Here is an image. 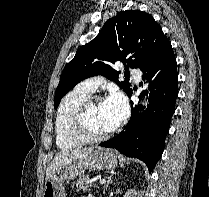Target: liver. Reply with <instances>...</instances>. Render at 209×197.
<instances>
[{"instance_id":"liver-1","label":"liver","mask_w":209,"mask_h":197,"mask_svg":"<svg viewBox=\"0 0 209 197\" xmlns=\"http://www.w3.org/2000/svg\"><path fill=\"white\" fill-rule=\"evenodd\" d=\"M93 150V147L84 149H73L62 151L54 157L52 162L48 165L46 170V180L50 179L57 171L65 166H68L72 162L78 161L88 156Z\"/></svg>"}]
</instances>
